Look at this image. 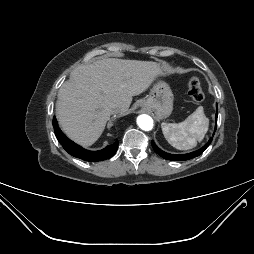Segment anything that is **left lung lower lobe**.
I'll list each match as a JSON object with an SVG mask.
<instances>
[{"instance_id":"1","label":"left lung lower lobe","mask_w":254,"mask_h":254,"mask_svg":"<svg viewBox=\"0 0 254 254\" xmlns=\"http://www.w3.org/2000/svg\"><path fill=\"white\" fill-rule=\"evenodd\" d=\"M217 117H218V112H216L215 130L217 127ZM212 139L213 138H210V140L201 149L194 151L192 153L182 154V155H173V154L166 153V152L162 151L161 149H159L153 141H152V147L155 150V152L157 154H159L161 157H163L164 159L173 160V161H184V160H189L191 158L197 157L200 154H202L204 152V150L209 146Z\"/></svg>"}]
</instances>
